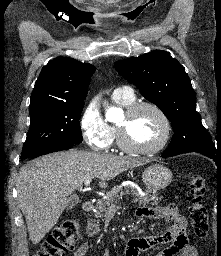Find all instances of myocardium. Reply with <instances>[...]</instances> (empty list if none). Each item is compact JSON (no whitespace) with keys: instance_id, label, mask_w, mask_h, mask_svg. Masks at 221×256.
I'll return each mask as SVG.
<instances>
[{"instance_id":"f54148a6","label":"myocardium","mask_w":221,"mask_h":256,"mask_svg":"<svg viewBox=\"0 0 221 256\" xmlns=\"http://www.w3.org/2000/svg\"><path fill=\"white\" fill-rule=\"evenodd\" d=\"M142 109H151L153 110L161 119L163 124V133L159 141L147 148L137 147L128 142L125 136V132L122 126L118 125L116 127V134H117V143L118 146L126 153L134 154V155H142V156H150L157 154L160 152L169 142L172 132L171 121L166 114V112L156 103L150 101H141V102H134L131 105L126 107L125 110V117L131 118L134 116L138 111Z\"/></svg>"}]
</instances>
